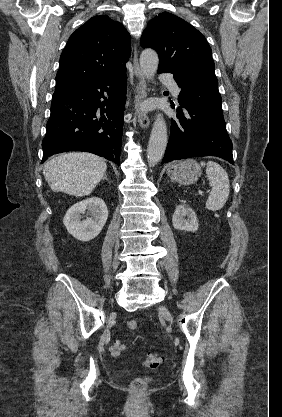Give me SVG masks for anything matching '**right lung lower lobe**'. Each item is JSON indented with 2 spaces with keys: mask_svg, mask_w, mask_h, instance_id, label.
<instances>
[{
  "mask_svg": "<svg viewBox=\"0 0 282 417\" xmlns=\"http://www.w3.org/2000/svg\"><path fill=\"white\" fill-rule=\"evenodd\" d=\"M126 79L124 71L55 91L42 141V163L56 153L86 151L119 165Z\"/></svg>",
  "mask_w": 282,
  "mask_h": 417,
  "instance_id": "right-lung-lower-lobe-1",
  "label": "right lung lower lobe"
}]
</instances>
